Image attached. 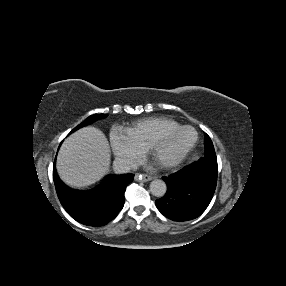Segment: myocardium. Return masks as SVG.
<instances>
[{
    "label": "myocardium",
    "instance_id": "obj_1",
    "mask_svg": "<svg viewBox=\"0 0 286 286\" xmlns=\"http://www.w3.org/2000/svg\"><path fill=\"white\" fill-rule=\"evenodd\" d=\"M187 129H191L195 133V140L192 143V145L177 157H174L171 159H160L158 157V154L162 150V148L165 147L167 144H169L182 131L187 130ZM198 140H199V136H198L197 130L192 126L185 125L151 142L147 147V151L158 162V164L162 168H167V169L175 168L183 164L192 155V153L195 151L197 147Z\"/></svg>",
    "mask_w": 286,
    "mask_h": 286
}]
</instances>
